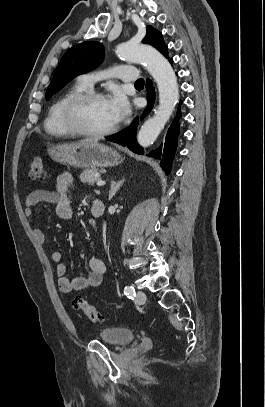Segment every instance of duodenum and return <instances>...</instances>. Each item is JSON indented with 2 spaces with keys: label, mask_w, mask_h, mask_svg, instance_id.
<instances>
[{
  "label": "duodenum",
  "mask_w": 265,
  "mask_h": 407,
  "mask_svg": "<svg viewBox=\"0 0 265 407\" xmlns=\"http://www.w3.org/2000/svg\"><path fill=\"white\" fill-rule=\"evenodd\" d=\"M91 211L95 217L102 216L105 212L104 202L99 199L94 200L91 205Z\"/></svg>",
  "instance_id": "1"
}]
</instances>
